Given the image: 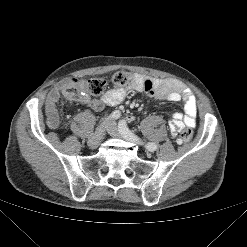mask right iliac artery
Here are the masks:
<instances>
[{
	"instance_id": "82829eb1",
	"label": "right iliac artery",
	"mask_w": 247,
	"mask_h": 247,
	"mask_svg": "<svg viewBox=\"0 0 247 247\" xmlns=\"http://www.w3.org/2000/svg\"><path fill=\"white\" fill-rule=\"evenodd\" d=\"M121 116L120 111L116 110L114 112L111 113V115L109 116L111 119H118Z\"/></svg>"
}]
</instances>
